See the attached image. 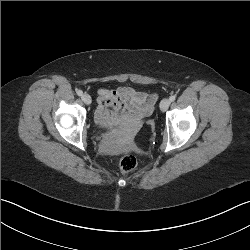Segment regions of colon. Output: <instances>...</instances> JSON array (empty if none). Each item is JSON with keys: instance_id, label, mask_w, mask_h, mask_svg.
I'll list each match as a JSON object with an SVG mask.
<instances>
[{"instance_id": "colon-1", "label": "colon", "mask_w": 250, "mask_h": 250, "mask_svg": "<svg viewBox=\"0 0 250 250\" xmlns=\"http://www.w3.org/2000/svg\"><path fill=\"white\" fill-rule=\"evenodd\" d=\"M110 136L113 134L110 133ZM137 165V159L133 155H123L119 160V168L122 173H128L132 171Z\"/></svg>"}]
</instances>
